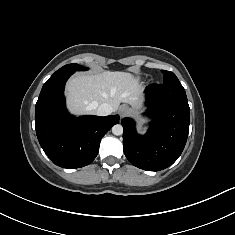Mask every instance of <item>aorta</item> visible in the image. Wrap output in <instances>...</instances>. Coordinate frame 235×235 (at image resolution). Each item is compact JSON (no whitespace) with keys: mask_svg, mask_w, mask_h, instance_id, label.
Masks as SVG:
<instances>
[{"mask_svg":"<svg viewBox=\"0 0 235 235\" xmlns=\"http://www.w3.org/2000/svg\"><path fill=\"white\" fill-rule=\"evenodd\" d=\"M112 133L116 136H119L123 133V127L121 124H116L112 127Z\"/></svg>","mask_w":235,"mask_h":235,"instance_id":"obj_1","label":"aorta"}]
</instances>
